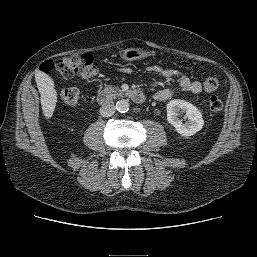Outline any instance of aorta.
I'll return each instance as SVG.
<instances>
[{"label":"aorta","instance_id":"1","mask_svg":"<svg viewBox=\"0 0 257 257\" xmlns=\"http://www.w3.org/2000/svg\"><path fill=\"white\" fill-rule=\"evenodd\" d=\"M130 104L127 100L121 99L116 103V110L120 113H125L129 110Z\"/></svg>","mask_w":257,"mask_h":257}]
</instances>
